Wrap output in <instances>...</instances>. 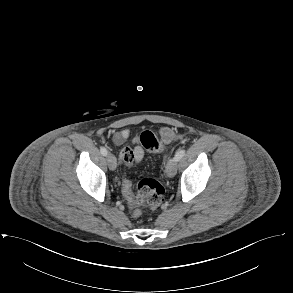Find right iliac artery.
Returning <instances> with one entry per match:
<instances>
[{
    "label": "right iliac artery",
    "instance_id": "obj_1",
    "mask_svg": "<svg viewBox=\"0 0 293 293\" xmlns=\"http://www.w3.org/2000/svg\"><path fill=\"white\" fill-rule=\"evenodd\" d=\"M100 152L102 155L106 156L108 154V150L105 147L100 148Z\"/></svg>",
    "mask_w": 293,
    "mask_h": 293
}]
</instances>
